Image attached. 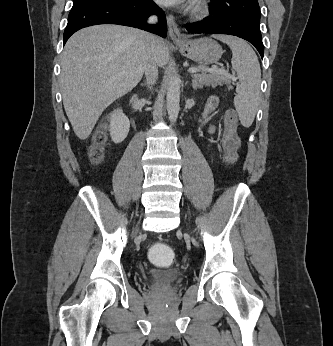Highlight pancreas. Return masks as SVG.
Here are the masks:
<instances>
[{"label":"pancreas","instance_id":"obj_1","mask_svg":"<svg viewBox=\"0 0 333 346\" xmlns=\"http://www.w3.org/2000/svg\"><path fill=\"white\" fill-rule=\"evenodd\" d=\"M200 73H194L192 75L193 77V88L198 89L200 87L205 86H212L217 87L218 85L226 84L229 88H231L230 83L232 82V76L228 73H220V72H210L207 73L205 71L207 68L205 66H200L199 68Z\"/></svg>","mask_w":333,"mask_h":346}]
</instances>
